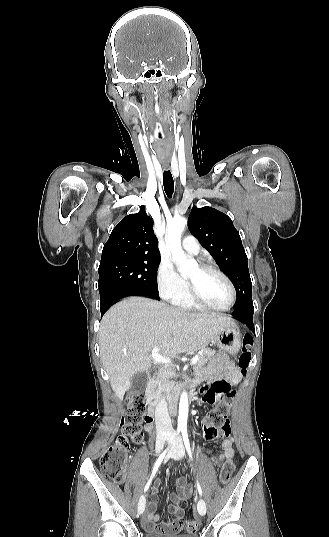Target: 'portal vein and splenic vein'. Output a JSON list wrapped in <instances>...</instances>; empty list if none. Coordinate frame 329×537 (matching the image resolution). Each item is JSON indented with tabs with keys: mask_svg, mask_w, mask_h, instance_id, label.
<instances>
[{
	"mask_svg": "<svg viewBox=\"0 0 329 537\" xmlns=\"http://www.w3.org/2000/svg\"><path fill=\"white\" fill-rule=\"evenodd\" d=\"M159 350H160L159 347L153 348L152 353H151L152 359L159 363L172 364L169 358L163 357L159 354ZM198 360H199V356L197 355L191 360V365H195L198 362Z\"/></svg>",
	"mask_w": 329,
	"mask_h": 537,
	"instance_id": "1",
	"label": "portal vein and splenic vein"
}]
</instances>
